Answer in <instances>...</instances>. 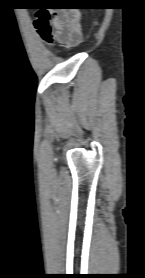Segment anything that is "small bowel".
<instances>
[{
    "mask_svg": "<svg viewBox=\"0 0 145 278\" xmlns=\"http://www.w3.org/2000/svg\"><path fill=\"white\" fill-rule=\"evenodd\" d=\"M83 36L77 13L57 10L54 16V40L67 47L77 45Z\"/></svg>",
    "mask_w": 145,
    "mask_h": 278,
    "instance_id": "small-bowel-1",
    "label": "small bowel"
}]
</instances>
